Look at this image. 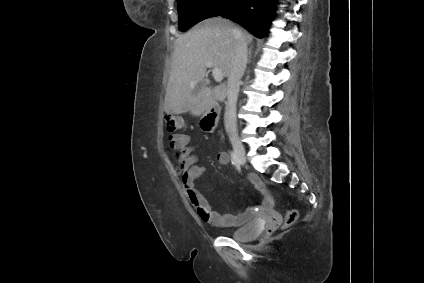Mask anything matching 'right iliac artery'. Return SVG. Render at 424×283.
I'll return each instance as SVG.
<instances>
[{
  "label": "right iliac artery",
  "instance_id": "1",
  "mask_svg": "<svg viewBox=\"0 0 424 283\" xmlns=\"http://www.w3.org/2000/svg\"><path fill=\"white\" fill-rule=\"evenodd\" d=\"M231 162L234 166L238 165V159L233 151L231 152Z\"/></svg>",
  "mask_w": 424,
  "mask_h": 283
}]
</instances>
